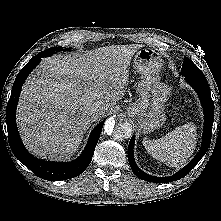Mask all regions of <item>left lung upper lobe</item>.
Masks as SVG:
<instances>
[{"instance_id": "5c2ea615", "label": "left lung upper lobe", "mask_w": 221, "mask_h": 221, "mask_svg": "<svg viewBox=\"0 0 221 221\" xmlns=\"http://www.w3.org/2000/svg\"><path fill=\"white\" fill-rule=\"evenodd\" d=\"M183 76H204L203 72L186 56L181 70Z\"/></svg>"}]
</instances>
